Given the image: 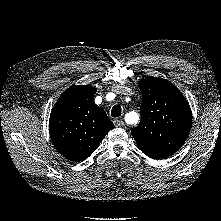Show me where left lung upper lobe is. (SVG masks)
Masks as SVG:
<instances>
[{
    "label": "left lung upper lobe",
    "instance_id": "1",
    "mask_svg": "<svg viewBox=\"0 0 221 221\" xmlns=\"http://www.w3.org/2000/svg\"><path fill=\"white\" fill-rule=\"evenodd\" d=\"M143 101L141 122L131 130L138 148L164 159L181 148L191 129L192 114L183 94L169 81L150 77L138 82Z\"/></svg>",
    "mask_w": 221,
    "mask_h": 221
}]
</instances>
